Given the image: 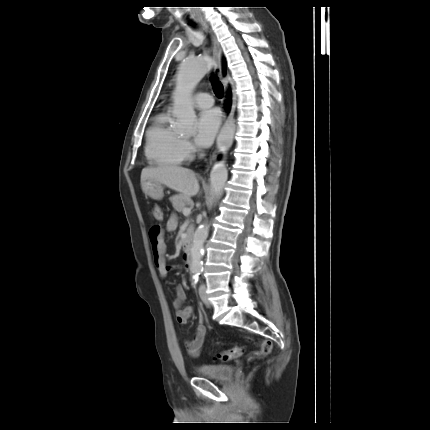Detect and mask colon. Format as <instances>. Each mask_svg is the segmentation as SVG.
Masks as SVG:
<instances>
[{
  "label": "colon",
  "mask_w": 430,
  "mask_h": 430,
  "mask_svg": "<svg viewBox=\"0 0 430 430\" xmlns=\"http://www.w3.org/2000/svg\"><path fill=\"white\" fill-rule=\"evenodd\" d=\"M152 215L157 221H161L163 218V213L160 207L154 206L152 208ZM258 351H256V356H265L267 355L271 350V341L269 340H262L258 344ZM243 354V349L241 347L235 346L230 349L223 350L215 355V359L221 360V361H229L235 358H238Z\"/></svg>",
  "instance_id": "colon-1"
}]
</instances>
